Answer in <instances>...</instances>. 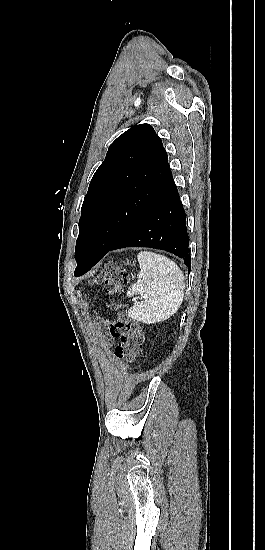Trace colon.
<instances>
[{"label": "colon", "mask_w": 265, "mask_h": 550, "mask_svg": "<svg viewBox=\"0 0 265 550\" xmlns=\"http://www.w3.org/2000/svg\"><path fill=\"white\" fill-rule=\"evenodd\" d=\"M96 281L103 284L104 293L109 298V306L114 314L106 320L111 335L118 339L114 358L120 363H132L141 352L145 337L141 326L130 320L121 310L120 303L115 300V296L127 285L128 277L118 264L108 262L102 266Z\"/></svg>", "instance_id": "5ec220e1"}]
</instances>
